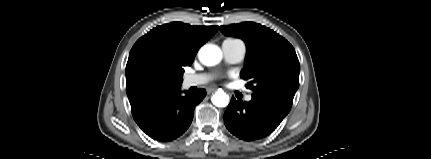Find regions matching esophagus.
<instances>
[{"instance_id":"1","label":"esophagus","mask_w":431,"mask_h":159,"mask_svg":"<svg viewBox=\"0 0 431 159\" xmlns=\"http://www.w3.org/2000/svg\"><path fill=\"white\" fill-rule=\"evenodd\" d=\"M214 91H215V89H214V88H210V89H208V90H207V93H208V94H210V93H212V92H214Z\"/></svg>"}]
</instances>
